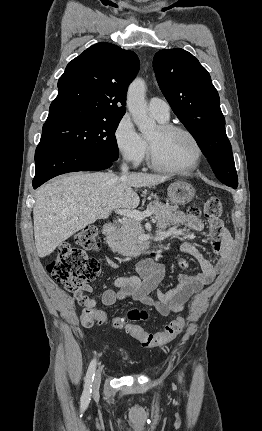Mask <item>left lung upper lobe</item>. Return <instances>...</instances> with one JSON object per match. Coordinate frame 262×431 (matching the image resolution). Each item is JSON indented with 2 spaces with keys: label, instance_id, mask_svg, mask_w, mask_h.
<instances>
[{
  "label": "left lung upper lobe",
  "instance_id": "5c2ea615",
  "mask_svg": "<svg viewBox=\"0 0 262 431\" xmlns=\"http://www.w3.org/2000/svg\"><path fill=\"white\" fill-rule=\"evenodd\" d=\"M153 67L173 112L195 138L216 177L234 189L238 177L217 90L207 70L191 53L160 50Z\"/></svg>",
  "mask_w": 262,
  "mask_h": 431
}]
</instances>
